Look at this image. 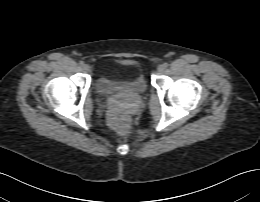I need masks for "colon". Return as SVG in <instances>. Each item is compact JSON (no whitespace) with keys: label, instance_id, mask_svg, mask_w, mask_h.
<instances>
[{"label":"colon","instance_id":"obj_1","mask_svg":"<svg viewBox=\"0 0 260 202\" xmlns=\"http://www.w3.org/2000/svg\"><path fill=\"white\" fill-rule=\"evenodd\" d=\"M109 118L111 124L119 130H123L126 126L127 116L123 111H113L110 113Z\"/></svg>","mask_w":260,"mask_h":202}]
</instances>
